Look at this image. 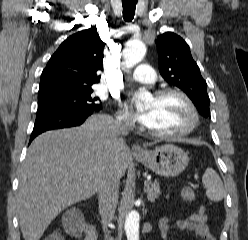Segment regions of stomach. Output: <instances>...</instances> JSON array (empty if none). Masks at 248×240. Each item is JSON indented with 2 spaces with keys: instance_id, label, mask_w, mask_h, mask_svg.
<instances>
[{
  "instance_id": "1",
  "label": "stomach",
  "mask_w": 248,
  "mask_h": 240,
  "mask_svg": "<svg viewBox=\"0 0 248 240\" xmlns=\"http://www.w3.org/2000/svg\"><path fill=\"white\" fill-rule=\"evenodd\" d=\"M135 158L154 173L164 177L179 175L189 163L188 154L172 144L156 147L142 156L136 155Z\"/></svg>"
}]
</instances>
